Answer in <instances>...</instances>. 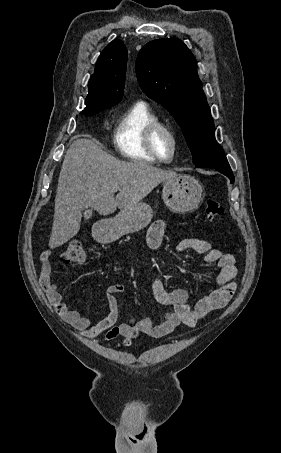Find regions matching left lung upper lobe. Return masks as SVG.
Returning <instances> with one entry per match:
<instances>
[{"mask_svg": "<svg viewBox=\"0 0 281 453\" xmlns=\"http://www.w3.org/2000/svg\"><path fill=\"white\" fill-rule=\"evenodd\" d=\"M136 73L143 92L161 103L181 127L195 166L229 168L215 140L210 107L187 46L175 38L147 43L138 54Z\"/></svg>", "mask_w": 281, "mask_h": 453, "instance_id": "1", "label": "left lung upper lobe"}]
</instances>
